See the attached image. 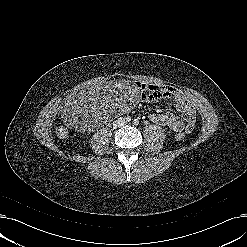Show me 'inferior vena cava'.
I'll use <instances>...</instances> for the list:
<instances>
[{"label":"inferior vena cava","instance_id":"1","mask_svg":"<svg viewBox=\"0 0 247 247\" xmlns=\"http://www.w3.org/2000/svg\"><path fill=\"white\" fill-rule=\"evenodd\" d=\"M120 124L124 125L125 124V120H122V119L118 120L116 125H120Z\"/></svg>","mask_w":247,"mask_h":247}]
</instances>
